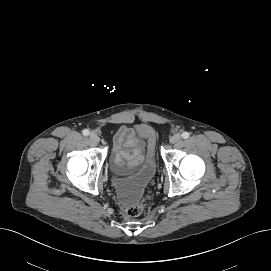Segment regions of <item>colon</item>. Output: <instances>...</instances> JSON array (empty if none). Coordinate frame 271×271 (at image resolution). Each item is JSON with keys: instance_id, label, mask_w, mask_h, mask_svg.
<instances>
[{"instance_id": "obj_1", "label": "colon", "mask_w": 271, "mask_h": 271, "mask_svg": "<svg viewBox=\"0 0 271 271\" xmlns=\"http://www.w3.org/2000/svg\"><path fill=\"white\" fill-rule=\"evenodd\" d=\"M144 210V206L142 204H135L126 206L123 208V214L126 217L132 218L139 216Z\"/></svg>"}]
</instances>
